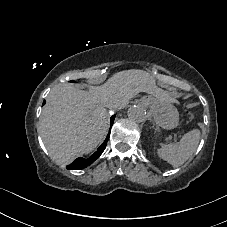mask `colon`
I'll use <instances>...</instances> for the list:
<instances>
[{"label": "colon", "mask_w": 227, "mask_h": 227, "mask_svg": "<svg viewBox=\"0 0 227 227\" xmlns=\"http://www.w3.org/2000/svg\"><path fill=\"white\" fill-rule=\"evenodd\" d=\"M190 115H191L192 117H194V115H193L192 113H191Z\"/></svg>", "instance_id": "obj_1"}]
</instances>
